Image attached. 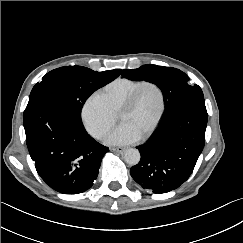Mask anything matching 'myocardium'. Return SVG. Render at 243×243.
Wrapping results in <instances>:
<instances>
[{"mask_svg":"<svg viewBox=\"0 0 243 243\" xmlns=\"http://www.w3.org/2000/svg\"><path fill=\"white\" fill-rule=\"evenodd\" d=\"M147 85H152L158 90L159 95H160V110H159V113H158L154 123L152 124V126L144 134L141 135V137H143V138H146V137H148V136H150L151 134L154 133V131L158 128V126H159V124H160V122H161V120L164 116V113H165V110H166V95H165V92H164V89L162 88V86L158 82L153 81V80L142 81L131 92V94L125 100V102L122 104V106L119 110V116L122 113L131 110L136 104L137 97H138L140 90Z\"/></svg>","mask_w":243,"mask_h":243,"instance_id":"myocardium-1","label":"myocardium"}]
</instances>
